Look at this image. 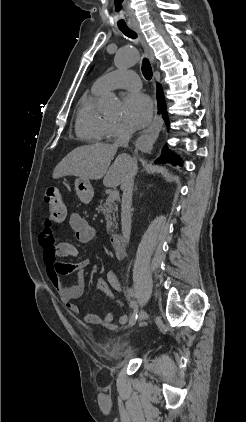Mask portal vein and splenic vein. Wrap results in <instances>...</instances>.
Returning a JSON list of instances; mask_svg holds the SVG:
<instances>
[{
	"label": "portal vein and splenic vein",
	"instance_id": "1",
	"mask_svg": "<svg viewBox=\"0 0 246 422\" xmlns=\"http://www.w3.org/2000/svg\"><path fill=\"white\" fill-rule=\"evenodd\" d=\"M118 197H119V192L117 190H114L109 194L108 198H109V200L114 201V200L118 199Z\"/></svg>",
	"mask_w": 246,
	"mask_h": 422
}]
</instances>
